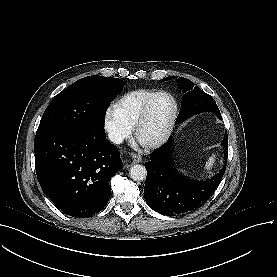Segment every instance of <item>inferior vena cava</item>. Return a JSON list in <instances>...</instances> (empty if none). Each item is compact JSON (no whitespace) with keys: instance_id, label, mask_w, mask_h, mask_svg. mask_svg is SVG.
I'll return each instance as SVG.
<instances>
[{"instance_id":"inferior-vena-cava-1","label":"inferior vena cava","mask_w":277,"mask_h":277,"mask_svg":"<svg viewBox=\"0 0 277 277\" xmlns=\"http://www.w3.org/2000/svg\"><path fill=\"white\" fill-rule=\"evenodd\" d=\"M108 137H109V140L114 144H121L123 142V136L115 130L109 131Z\"/></svg>"}]
</instances>
